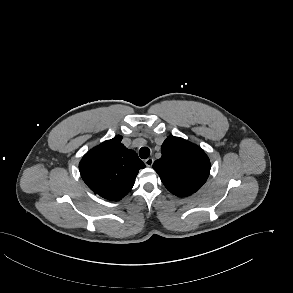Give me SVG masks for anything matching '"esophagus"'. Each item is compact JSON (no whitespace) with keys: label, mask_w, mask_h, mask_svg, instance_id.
Listing matches in <instances>:
<instances>
[{"label":"esophagus","mask_w":293,"mask_h":293,"mask_svg":"<svg viewBox=\"0 0 293 293\" xmlns=\"http://www.w3.org/2000/svg\"><path fill=\"white\" fill-rule=\"evenodd\" d=\"M154 159L153 158H147L145 160V164L147 167H151L153 165Z\"/></svg>","instance_id":"1"}]
</instances>
